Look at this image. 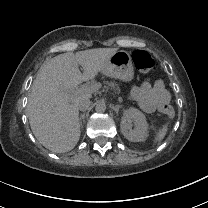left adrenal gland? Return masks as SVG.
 I'll use <instances>...</instances> for the list:
<instances>
[{"instance_id": "obj_1", "label": "left adrenal gland", "mask_w": 208, "mask_h": 208, "mask_svg": "<svg viewBox=\"0 0 208 208\" xmlns=\"http://www.w3.org/2000/svg\"><path fill=\"white\" fill-rule=\"evenodd\" d=\"M110 107H111V109H113L116 112V114H118L119 108H121L122 106L121 105H116V106L110 105Z\"/></svg>"}]
</instances>
